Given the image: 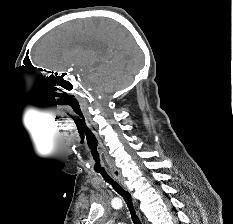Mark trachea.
I'll use <instances>...</instances> for the list:
<instances>
[{"label": "trachea", "instance_id": "obj_1", "mask_svg": "<svg viewBox=\"0 0 233 224\" xmlns=\"http://www.w3.org/2000/svg\"><path fill=\"white\" fill-rule=\"evenodd\" d=\"M98 173H100L102 177L104 178V180L108 182L109 184H111L114 190L124 198L129 208L133 223L141 224V221L138 217V214L136 212V209H135V206L133 204L130 194L126 190H124L117 182L113 181L106 172H98Z\"/></svg>", "mask_w": 233, "mask_h": 224}]
</instances>
